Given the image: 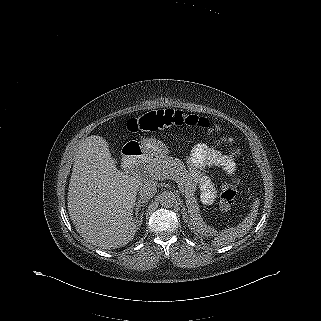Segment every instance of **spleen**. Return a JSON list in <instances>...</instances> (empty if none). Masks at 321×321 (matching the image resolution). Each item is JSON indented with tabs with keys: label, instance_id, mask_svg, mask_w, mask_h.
Here are the masks:
<instances>
[{
	"label": "spleen",
	"instance_id": "3e777b00",
	"mask_svg": "<svg viewBox=\"0 0 321 321\" xmlns=\"http://www.w3.org/2000/svg\"><path fill=\"white\" fill-rule=\"evenodd\" d=\"M259 200H255L251 212L244 218V220L236 227H231L223 230L217 237L214 243L217 245H226L234 242L236 238L242 237L251 229L257 217Z\"/></svg>",
	"mask_w": 321,
	"mask_h": 321
}]
</instances>
